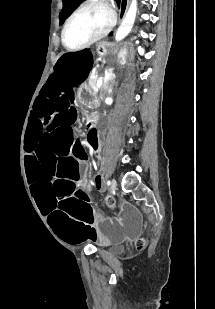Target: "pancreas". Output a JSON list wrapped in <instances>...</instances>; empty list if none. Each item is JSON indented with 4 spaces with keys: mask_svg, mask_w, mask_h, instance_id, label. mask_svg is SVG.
Masks as SVG:
<instances>
[{
    "mask_svg": "<svg viewBox=\"0 0 215 309\" xmlns=\"http://www.w3.org/2000/svg\"><path fill=\"white\" fill-rule=\"evenodd\" d=\"M96 74H97V72H96ZM97 80H98V76H97V78H93V80H89V86H92V88H93V86H96ZM106 86H107V82H104V84H102L100 90H104V88H106Z\"/></svg>",
    "mask_w": 215,
    "mask_h": 309,
    "instance_id": "pancreas-1",
    "label": "pancreas"
}]
</instances>
